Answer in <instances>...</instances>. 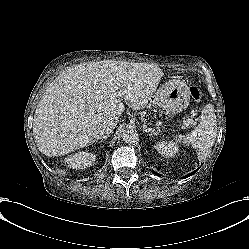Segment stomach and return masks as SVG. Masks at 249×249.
I'll return each instance as SVG.
<instances>
[{
  "mask_svg": "<svg viewBox=\"0 0 249 249\" xmlns=\"http://www.w3.org/2000/svg\"><path fill=\"white\" fill-rule=\"evenodd\" d=\"M154 99L168 114L173 115L182 112L188 107L190 93L186 84L170 82L157 90Z\"/></svg>",
  "mask_w": 249,
  "mask_h": 249,
  "instance_id": "obj_1",
  "label": "stomach"
}]
</instances>
